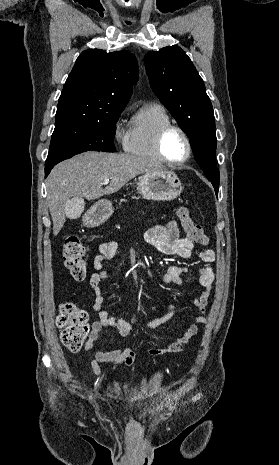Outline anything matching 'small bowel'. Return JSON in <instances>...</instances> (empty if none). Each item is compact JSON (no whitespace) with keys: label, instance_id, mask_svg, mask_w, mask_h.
<instances>
[{"label":"small bowel","instance_id":"obj_1","mask_svg":"<svg viewBox=\"0 0 279 465\" xmlns=\"http://www.w3.org/2000/svg\"><path fill=\"white\" fill-rule=\"evenodd\" d=\"M145 240L163 254L175 255L183 259L197 257L205 263L203 267L197 269L199 274L197 285L201 287V292L193 301L195 307L201 312V315L195 316L188 324L185 331L167 346L149 350V354L152 356L165 353H179L197 334L199 325L207 323L208 317L206 314V307L214 280L212 264L215 260V253L211 249H196L192 240L180 236V229L175 221H170L165 226L156 225L151 227L145 234ZM117 249L118 244L116 241H105L99 245L98 254L94 258V268L96 272L91 275L89 283L95 296L93 310L98 314V320L94 321L91 325V331L84 346L85 351H90L93 348L95 341L99 338V334L103 329H113L125 339L133 331V326L129 322L109 314V312L103 308L104 297L102 295L101 283L108 278V272L103 269V263L112 259ZM186 272H188V269L185 267L170 265L163 274L162 281L165 284L183 286L184 279L182 275ZM175 309L176 306L170 305L164 315L151 319L147 323L146 329L152 330L167 321L172 316ZM134 362L135 353L126 346H122L111 351L96 352L91 360V367L93 373L98 376L101 374L100 364H107L110 366L124 365L130 367Z\"/></svg>","mask_w":279,"mask_h":465}]
</instances>
